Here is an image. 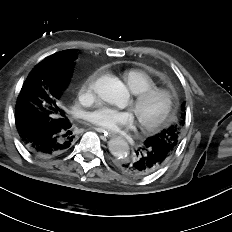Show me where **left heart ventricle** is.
I'll return each mask as SVG.
<instances>
[{"mask_svg": "<svg viewBox=\"0 0 232 232\" xmlns=\"http://www.w3.org/2000/svg\"><path fill=\"white\" fill-rule=\"evenodd\" d=\"M164 106V98L161 96H154L142 104L135 113L136 118L143 120H152L157 117Z\"/></svg>", "mask_w": 232, "mask_h": 232, "instance_id": "1", "label": "left heart ventricle"}]
</instances>
